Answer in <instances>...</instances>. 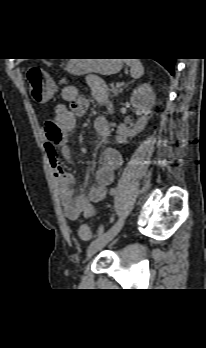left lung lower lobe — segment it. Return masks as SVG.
<instances>
[{
	"label": "left lung lower lobe",
	"mask_w": 206,
	"mask_h": 348,
	"mask_svg": "<svg viewBox=\"0 0 206 348\" xmlns=\"http://www.w3.org/2000/svg\"><path fill=\"white\" fill-rule=\"evenodd\" d=\"M175 60V58L156 59V61L163 65L171 73V75H174Z\"/></svg>",
	"instance_id": "1"
}]
</instances>
